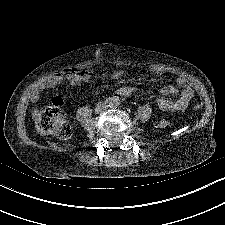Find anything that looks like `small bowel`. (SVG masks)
<instances>
[{
	"label": "small bowel",
	"mask_w": 225,
	"mask_h": 225,
	"mask_svg": "<svg viewBox=\"0 0 225 225\" xmlns=\"http://www.w3.org/2000/svg\"><path fill=\"white\" fill-rule=\"evenodd\" d=\"M155 72L158 74L163 73V70L160 68L155 69ZM124 75L122 70H116L111 73L112 78H119ZM95 74L90 71H73L69 70L66 72L55 73L53 75L45 78L32 92L31 102L37 103L40 100L41 93L47 88H51L59 85L63 81L67 80L70 85L73 87L79 86L82 82L92 81L95 79ZM179 86L183 88L181 96L175 100H168L165 96H175L178 94V89L174 86H168L161 89V97L157 100V105L162 111H181L184 110L190 98L193 95L192 89L188 86L187 81L184 77H179L177 79ZM135 88L133 86H122L117 90V93L121 96H131L134 94ZM35 117L38 114V111L35 110Z\"/></svg>",
	"instance_id": "small-bowel-1"
}]
</instances>
